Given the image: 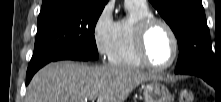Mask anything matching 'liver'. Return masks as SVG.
Instances as JSON below:
<instances>
[{"mask_svg":"<svg viewBox=\"0 0 221 102\" xmlns=\"http://www.w3.org/2000/svg\"><path fill=\"white\" fill-rule=\"evenodd\" d=\"M155 77L126 66L51 63L32 78L25 102H124L139 84Z\"/></svg>","mask_w":221,"mask_h":102,"instance_id":"1","label":"liver"}]
</instances>
